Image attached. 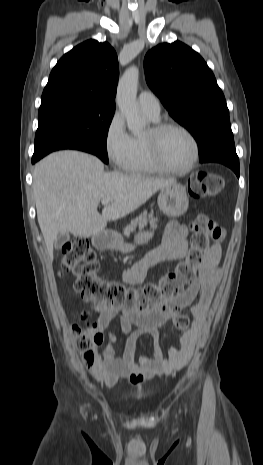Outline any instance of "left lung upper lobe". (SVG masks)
<instances>
[{"instance_id":"1","label":"left lung upper lobe","mask_w":263,"mask_h":465,"mask_svg":"<svg viewBox=\"0 0 263 465\" xmlns=\"http://www.w3.org/2000/svg\"><path fill=\"white\" fill-rule=\"evenodd\" d=\"M144 67L149 87L197 141L200 160L235 148L225 97L197 52L179 41L163 43L146 54Z\"/></svg>"}]
</instances>
